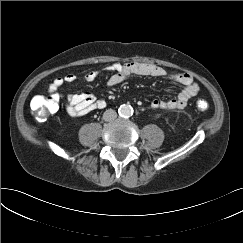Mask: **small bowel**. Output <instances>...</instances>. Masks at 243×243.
<instances>
[{
  "mask_svg": "<svg viewBox=\"0 0 243 243\" xmlns=\"http://www.w3.org/2000/svg\"><path fill=\"white\" fill-rule=\"evenodd\" d=\"M112 71L107 81L109 87L118 85L132 75L150 76V77H169L172 80L183 85V89L175 98L161 100L153 99L150 106L154 109L174 110L183 109L188 101L194 97L199 91V85L194 78L188 73H168L164 68L149 63L125 62L113 63L109 66ZM98 71H90L85 75L87 81H93L97 78ZM76 76L68 74L64 77L54 79L48 87L50 94H58V90L66 83H74ZM60 99V96H59ZM63 107L65 111L72 117H81L88 113L103 109L107 103L105 99L97 98L89 92L70 93L63 99Z\"/></svg>",
  "mask_w": 243,
  "mask_h": 243,
  "instance_id": "c3829d8e",
  "label": "small bowel"
}]
</instances>
